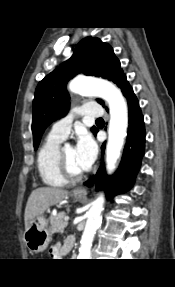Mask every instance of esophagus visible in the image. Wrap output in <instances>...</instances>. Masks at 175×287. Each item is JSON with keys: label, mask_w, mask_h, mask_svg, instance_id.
<instances>
[{"label": "esophagus", "mask_w": 175, "mask_h": 287, "mask_svg": "<svg viewBox=\"0 0 175 287\" xmlns=\"http://www.w3.org/2000/svg\"><path fill=\"white\" fill-rule=\"evenodd\" d=\"M73 193L76 194V195L86 196L87 195V190H86L85 187L80 186V187L75 188L73 190Z\"/></svg>", "instance_id": "obj_1"}]
</instances>
